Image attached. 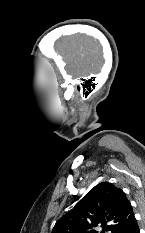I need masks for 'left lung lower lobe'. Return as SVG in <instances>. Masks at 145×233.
Returning a JSON list of instances; mask_svg holds the SVG:
<instances>
[{
    "label": "left lung lower lobe",
    "instance_id": "1",
    "mask_svg": "<svg viewBox=\"0 0 145 233\" xmlns=\"http://www.w3.org/2000/svg\"><path fill=\"white\" fill-rule=\"evenodd\" d=\"M128 233H140L137 221H135Z\"/></svg>",
    "mask_w": 145,
    "mask_h": 233
}]
</instances>
